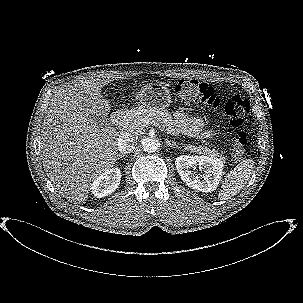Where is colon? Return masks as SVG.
Here are the masks:
<instances>
[{
  "label": "colon",
  "mask_w": 303,
  "mask_h": 303,
  "mask_svg": "<svg viewBox=\"0 0 303 303\" xmlns=\"http://www.w3.org/2000/svg\"><path fill=\"white\" fill-rule=\"evenodd\" d=\"M174 92L181 102L201 109H210L227 116L234 128H239L249 112V101L239 96L222 100L212 87L195 80H180L174 85ZM231 155L234 159L243 158L247 152V139L244 132L239 131L231 138Z\"/></svg>",
  "instance_id": "5ec220e1"
}]
</instances>
